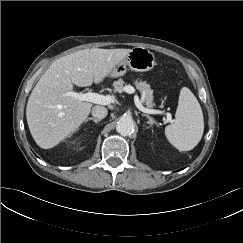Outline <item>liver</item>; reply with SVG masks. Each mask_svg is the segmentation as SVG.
I'll return each instance as SVG.
<instances>
[{
    "instance_id": "6515ba94",
    "label": "liver",
    "mask_w": 243,
    "mask_h": 243,
    "mask_svg": "<svg viewBox=\"0 0 243 243\" xmlns=\"http://www.w3.org/2000/svg\"><path fill=\"white\" fill-rule=\"evenodd\" d=\"M131 49H83L54 61L33 88L26 106L29 130L36 144L50 149L76 131L92 104L67 95L73 85L101 83Z\"/></svg>"
}]
</instances>
